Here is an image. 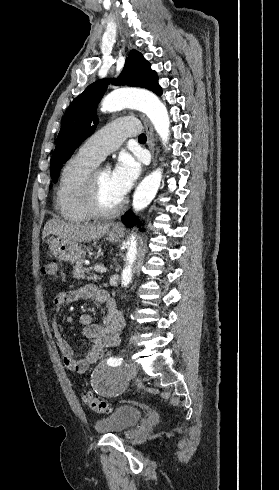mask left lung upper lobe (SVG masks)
<instances>
[{
	"label": "left lung upper lobe",
	"mask_w": 279,
	"mask_h": 490,
	"mask_svg": "<svg viewBox=\"0 0 279 490\" xmlns=\"http://www.w3.org/2000/svg\"><path fill=\"white\" fill-rule=\"evenodd\" d=\"M109 83V80L105 79L92 83L73 100L66 110L56 139V148L50 161V174L54 183L57 182L61 165L94 132L95 125L93 124L98 122L94 114L95 108ZM112 84L143 87L152 90L157 95L162 94L156 72L136 50L130 51L120 76L114 79Z\"/></svg>",
	"instance_id": "5c2ea615"
}]
</instances>
